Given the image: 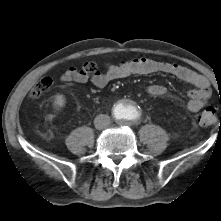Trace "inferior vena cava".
<instances>
[{
  "label": "inferior vena cava",
  "instance_id": "obj_1",
  "mask_svg": "<svg viewBox=\"0 0 221 221\" xmlns=\"http://www.w3.org/2000/svg\"><path fill=\"white\" fill-rule=\"evenodd\" d=\"M110 124V117L105 114H99L94 119L95 128L98 130L105 129Z\"/></svg>",
  "mask_w": 221,
  "mask_h": 221
}]
</instances>
